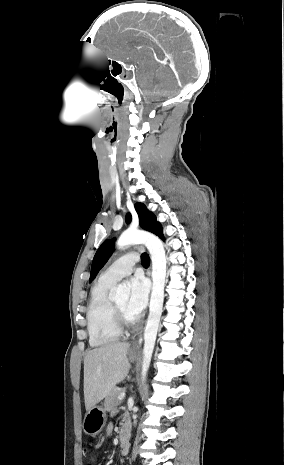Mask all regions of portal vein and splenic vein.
Instances as JSON below:
<instances>
[{"label":"portal vein and splenic vein","instance_id":"obj_1","mask_svg":"<svg viewBox=\"0 0 284 465\" xmlns=\"http://www.w3.org/2000/svg\"><path fill=\"white\" fill-rule=\"evenodd\" d=\"M126 393H121V395H119V397H117L118 401H122V399H124Z\"/></svg>","mask_w":284,"mask_h":465}]
</instances>
